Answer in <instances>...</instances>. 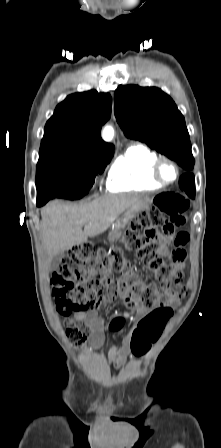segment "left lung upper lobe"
Wrapping results in <instances>:
<instances>
[{
  "instance_id": "left-lung-upper-lobe-1",
  "label": "left lung upper lobe",
  "mask_w": 221,
  "mask_h": 448,
  "mask_svg": "<svg viewBox=\"0 0 221 448\" xmlns=\"http://www.w3.org/2000/svg\"><path fill=\"white\" fill-rule=\"evenodd\" d=\"M115 116L127 137L146 143L185 169L193 168L184 117L163 91L135 85L118 87Z\"/></svg>"
}]
</instances>
